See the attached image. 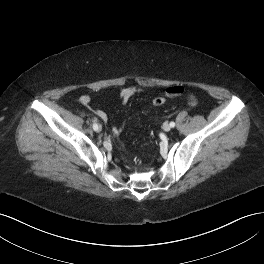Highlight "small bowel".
<instances>
[{
    "label": "small bowel",
    "mask_w": 264,
    "mask_h": 264,
    "mask_svg": "<svg viewBox=\"0 0 264 264\" xmlns=\"http://www.w3.org/2000/svg\"><path fill=\"white\" fill-rule=\"evenodd\" d=\"M141 92V89L137 88V87H133V86H129V87H124L123 89H121L120 93H119V98L120 101L125 104L130 98H132L133 96L139 94ZM184 92V87L181 85H173L168 87L165 90V95L168 98H174L177 97L179 95H181ZM79 102L81 103V105H83L84 107L90 109L100 120L106 122L108 120V116L106 114V112L102 109H91L89 107L90 102H91V97L89 95H82L79 98ZM113 130L115 132L120 131V128L114 127Z\"/></svg>",
    "instance_id": "c3829d8e"
}]
</instances>
